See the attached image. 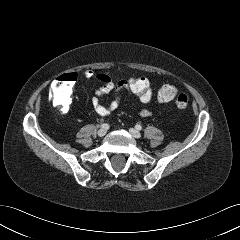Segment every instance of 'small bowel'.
I'll return each mask as SVG.
<instances>
[{
	"label": "small bowel",
	"mask_w": 240,
	"mask_h": 240,
	"mask_svg": "<svg viewBox=\"0 0 240 240\" xmlns=\"http://www.w3.org/2000/svg\"><path fill=\"white\" fill-rule=\"evenodd\" d=\"M84 75L87 78H92L94 73L92 70H85ZM114 91V98L109 104H103L101 102V97L109 94ZM125 94H129L125 80H121L115 83L111 78L107 82H103V85L94 89V95L92 97L91 103L94 111L103 117L110 115L114 110H116L121 103L122 97ZM152 112L148 109H143L140 111L141 117H150Z\"/></svg>",
	"instance_id": "obj_1"
}]
</instances>
